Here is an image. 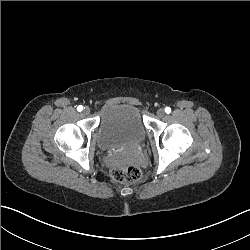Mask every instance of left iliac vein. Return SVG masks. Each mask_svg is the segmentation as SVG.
Masks as SVG:
<instances>
[{
  "instance_id": "obj_1",
  "label": "left iliac vein",
  "mask_w": 250,
  "mask_h": 250,
  "mask_svg": "<svg viewBox=\"0 0 250 250\" xmlns=\"http://www.w3.org/2000/svg\"><path fill=\"white\" fill-rule=\"evenodd\" d=\"M157 115H158V117L163 118V117L165 116V111H164V109H159V110L157 111Z\"/></svg>"
}]
</instances>
